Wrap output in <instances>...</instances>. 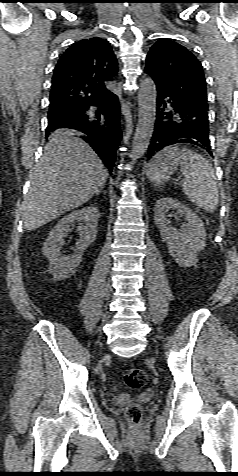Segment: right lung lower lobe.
Instances as JSON below:
<instances>
[{"mask_svg":"<svg viewBox=\"0 0 238 476\" xmlns=\"http://www.w3.org/2000/svg\"><path fill=\"white\" fill-rule=\"evenodd\" d=\"M90 106H99L96 116L87 113ZM85 108L80 115L64 122L48 123L47 136L57 128H69L83 132L84 140L96 151L105 166L112 172L116 150L121 141L120 106L115 94L106 96Z\"/></svg>","mask_w":238,"mask_h":476,"instance_id":"right-lung-lower-lobe-1","label":"right lung lower lobe"}]
</instances>
